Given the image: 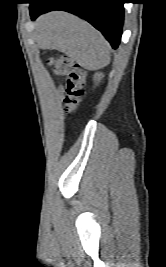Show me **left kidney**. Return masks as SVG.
<instances>
[{
  "instance_id": "1",
  "label": "left kidney",
  "mask_w": 166,
  "mask_h": 267,
  "mask_svg": "<svg viewBox=\"0 0 166 267\" xmlns=\"http://www.w3.org/2000/svg\"><path fill=\"white\" fill-rule=\"evenodd\" d=\"M99 77V75H95V78H98Z\"/></svg>"
}]
</instances>
